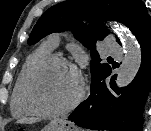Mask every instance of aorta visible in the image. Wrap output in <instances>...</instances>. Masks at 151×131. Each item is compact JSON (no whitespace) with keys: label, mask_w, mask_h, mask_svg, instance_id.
<instances>
[{"label":"aorta","mask_w":151,"mask_h":131,"mask_svg":"<svg viewBox=\"0 0 151 131\" xmlns=\"http://www.w3.org/2000/svg\"><path fill=\"white\" fill-rule=\"evenodd\" d=\"M116 30L125 54L116 78V84L121 88L128 86L135 78L141 65L142 54L139 45L135 42L129 30L122 26L117 27Z\"/></svg>","instance_id":"obj_1"}]
</instances>
